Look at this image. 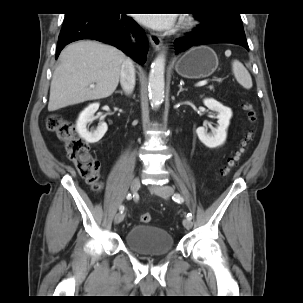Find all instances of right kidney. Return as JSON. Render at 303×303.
Listing matches in <instances>:
<instances>
[{
	"label": "right kidney",
	"instance_id": "1",
	"mask_svg": "<svg viewBox=\"0 0 303 303\" xmlns=\"http://www.w3.org/2000/svg\"><path fill=\"white\" fill-rule=\"evenodd\" d=\"M98 109L99 103L90 104L80 113L76 122V131L78 132L79 136L87 143L98 142L102 139L108 129V126L105 122L99 124L97 129L94 131H89L87 129V124L92 123L96 119V117H94V113Z\"/></svg>",
	"mask_w": 303,
	"mask_h": 303
}]
</instances>
